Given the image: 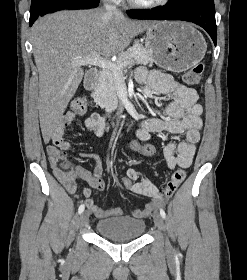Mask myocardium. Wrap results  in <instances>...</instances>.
Instances as JSON below:
<instances>
[{"label":"myocardium","instance_id":"myocardium-1","mask_svg":"<svg viewBox=\"0 0 247 280\" xmlns=\"http://www.w3.org/2000/svg\"><path fill=\"white\" fill-rule=\"evenodd\" d=\"M169 1L170 0H155V1H152L149 3H143V2L136 1V0H128L130 5H132L133 7L139 8V9H145V10L160 8V7L168 4Z\"/></svg>","mask_w":247,"mask_h":280}]
</instances>
